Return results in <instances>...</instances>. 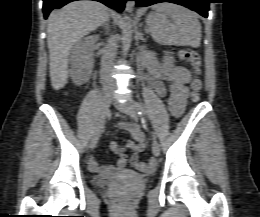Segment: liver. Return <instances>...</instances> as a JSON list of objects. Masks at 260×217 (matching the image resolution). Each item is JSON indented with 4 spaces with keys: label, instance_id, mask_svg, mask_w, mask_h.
Here are the masks:
<instances>
[{
    "label": "liver",
    "instance_id": "obj_1",
    "mask_svg": "<svg viewBox=\"0 0 260 217\" xmlns=\"http://www.w3.org/2000/svg\"><path fill=\"white\" fill-rule=\"evenodd\" d=\"M108 18V8L90 0L71 2L50 14L47 43L53 89L59 90L67 84L69 55L73 46L83 36L104 24Z\"/></svg>",
    "mask_w": 260,
    "mask_h": 217
}]
</instances>
